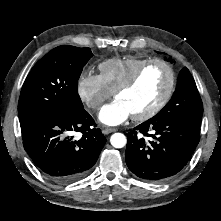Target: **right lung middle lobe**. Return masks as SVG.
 <instances>
[{
	"label": "right lung middle lobe",
	"instance_id": "obj_1",
	"mask_svg": "<svg viewBox=\"0 0 221 221\" xmlns=\"http://www.w3.org/2000/svg\"><path fill=\"white\" fill-rule=\"evenodd\" d=\"M93 56L90 48L59 46L48 52L28 74L19 98L20 126L53 115L84 109L78 79Z\"/></svg>",
	"mask_w": 221,
	"mask_h": 221
}]
</instances>
